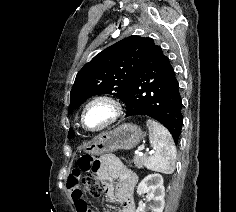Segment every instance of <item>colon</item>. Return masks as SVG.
Returning <instances> with one entry per match:
<instances>
[{
    "mask_svg": "<svg viewBox=\"0 0 236 212\" xmlns=\"http://www.w3.org/2000/svg\"><path fill=\"white\" fill-rule=\"evenodd\" d=\"M95 161L92 157L82 158L79 163V169L84 173L81 178L83 189L94 197H100L102 188L97 175L94 172ZM89 212H92L91 210Z\"/></svg>",
    "mask_w": 236,
    "mask_h": 212,
    "instance_id": "1",
    "label": "colon"
}]
</instances>
